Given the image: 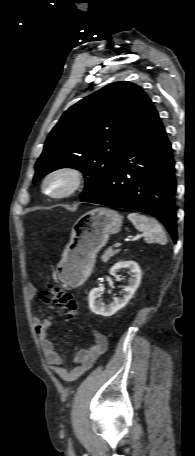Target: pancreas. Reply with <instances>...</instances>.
Masks as SVG:
<instances>
[{"label": "pancreas", "mask_w": 195, "mask_h": 456, "mask_svg": "<svg viewBox=\"0 0 195 456\" xmlns=\"http://www.w3.org/2000/svg\"><path fill=\"white\" fill-rule=\"evenodd\" d=\"M119 252H120V249H113L112 247H109L102 255V261L103 262L109 261L111 257H113L114 255H116Z\"/></svg>", "instance_id": "pancreas-1"}]
</instances>
